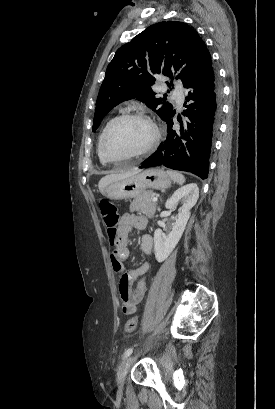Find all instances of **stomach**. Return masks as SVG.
Here are the masks:
<instances>
[{"label":"stomach","mask_w":275,"mask_h":409,"mask_svg":"<svg viewBox=\"0 0 275 409\" xmlns=\"http://www.w3.org/2000/svg\"><path fill=\"white\" fill-rule=\"evenodd\" d=\"M171 184V178H169L167 172L163 168H147L139 174H133L128 178H121V180H115L105 186L104 194L107 198H114V200H120V198H135L147 188H168Z\"/></svg>","instance_id":"stomach-1"}]
</instances>
